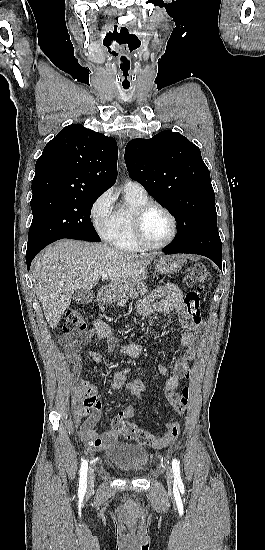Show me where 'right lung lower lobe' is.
Listing matches in <instances>:
<instances>
[{
  "label": "right lung lower lobe",
  "instance_id": "obj_1",
  "mask_svg": "<svg viewBox=\"0 0 265 550\" xmlns=\"http://www.w3.org/2000/svg\"><path fill=\"white\" fill-rule=\"evenodd\" d=\"M71 239H77V240H83V239H79V238H71ZM85 241V240H84ZM41 249L35 251V252H32V253H26V263H27V268L28 270L30 269V265H31V262L32 260L34 259V257L37 255V253L40 251Z\"/></svg>",
  "mask_w": 265,
  "mask_h": 550
}]
</instances>
